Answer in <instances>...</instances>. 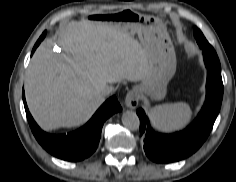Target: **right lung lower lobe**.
I'll return each instance as SVG.
<instances>
[{
  "label": "right lung lower lobe",
  "instance_id": "obj_1",
  "mask_svg": "<svg viewBox=\"0 0 236 182\" xmlns=\"http://www.w3.org/2000/svg\"><path fill=\"white\" fill-rule=\"evenodd\" d=\"M46 36V31L36 42L32 54ZM27 120L40 145L53 156L66 161H80L89 157L97 148L102 126L107 118L122 110L117 98L110 97L81 129L67 135H51L42 131L32 118L23 92Z\"/></svg>",
  "mask_w": 236,
  "mask_h": 182
}]
</instances>
